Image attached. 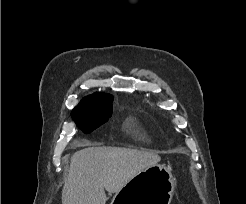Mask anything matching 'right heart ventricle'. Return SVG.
Returning <instances> with one entry per match:
<instances>
[{"instance_id": "e07e8e85", "label": "right heart ventricle", "mask_w": 246, "mask_h": 204, "mask_svg": "<svg viewBox=\"0 0 246 204\" xmlns=\"http://www.w3.org/2000/svg\"><path fill=\"white\" fill-rule=\"evenodd\" d=\"M134 132L138 133L137 131H134ZM140 136H142V134H140Z\"/></svg>"}]
</instances>
